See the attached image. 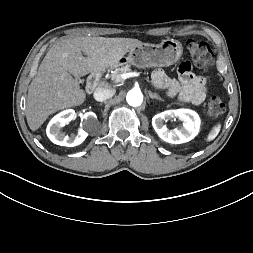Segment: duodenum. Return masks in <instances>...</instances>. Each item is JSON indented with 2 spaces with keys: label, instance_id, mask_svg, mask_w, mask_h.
<instances>
[{
  "label": "duodenum",
  "instance_id": "obj_1",
  "mask_svg": "<svg viewBox=\"0 0 253 253\" xmlns=\"http://www.w3.org/2000/svg\"><path fill=\"white\" fill-rule=\"evenodd\" d=\"M100 77H101L100 72H95L89 77L87 84H86V92L87 93H92L96 89V87L99 83Z\"/></svg>",
  "mask_w": 253,
  "mask_h": 253
}]
</instances>
